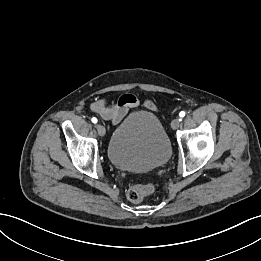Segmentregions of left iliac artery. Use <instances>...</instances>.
<instances>
[{
	"instance_id": "44dca946",
	"label": "left iliac artery",
	"mask_w": 261,
	"mask_h": 261,
	"mask_svg": "<svg viewBox=\"0 0 261 261\" xmlns=\"http://www.w3.org/2000/svg\"><path fill=\"white\" fill-rule=\"evenodd\" d=\"M179 116H180L181 118H183V117L185 116V112H184V111H181V112L179 113Z\"/></svg>"
}]
</instances>
